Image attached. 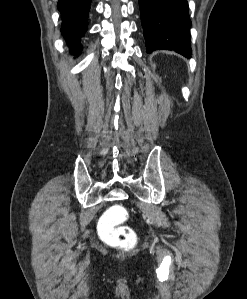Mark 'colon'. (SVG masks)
Masks as SVG:
<instances>
[{
	"label": "colon",
	"mask_w": 247,
	"mask_h": 299,
	"mask_svg": "<svg viewBox=\"0 0 247 299\" xmlns=\"http://www.w3.org/2000/svg\"><path fill=\"white\" fill-rule=\"evenodd\" d=\"M126 218L127 211L120 205L110 207L103 215L100 221V232L108 244L124 249H130L135 245V232L123 224Z\"/></svg>",
	"instance_id": "5ec220e1"
}]
</instances>
